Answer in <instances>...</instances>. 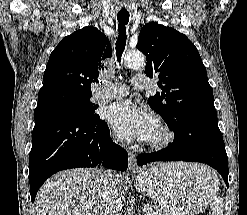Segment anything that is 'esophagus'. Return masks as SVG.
<instances>
[{
	"mask_svg": "<svg viewBox=\"0 0 247 215\" xmlns=\"http://www.w3.org/2000/svg\"><path fill=\"white\" fill-rule=\"evenodd\" d=\"M129 171L131 173H138L140 167L137 165L136 157L132 152H129Z\"/></svg>",
	"mask_w": 247,
	"mask_h": 215,
	"instance_id": "esophagus-1",
	"label": "esophagus"
}]
</instances>
